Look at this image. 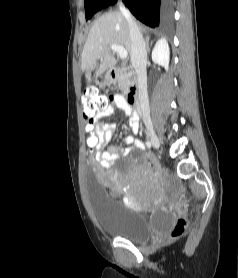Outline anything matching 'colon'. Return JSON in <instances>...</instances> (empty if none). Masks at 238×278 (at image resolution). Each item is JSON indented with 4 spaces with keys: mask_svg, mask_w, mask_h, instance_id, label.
I'll list each match as a JSON object with an SVG mask.
<instances>
[{
    "mask_svg": "<svg viewBox=\"0 0 238 278\" xmlns=\"http://www.w3.org/2000/svg\"><path fill=\"white\" fill-rule=\"evenodd\" d=\"M113 103L112 98L109 99L103 94H100L96 89H88L82 95V113L85 120L88 122L86 126V140L83 145L87 146L86 155L87 159H94L97 156V149L99 148L100 142L95 141L100 139V131H94V123L97 116L103 112L106 108L110 107ZM183 197L187 196L188 190L186 186L180 187ZM184 204L188 203L187 199L183 200ZM188 227L186 218L180 215L172 225L169 236L173 239L181 237Z\"/></svg>",
    "mask_w": 238,
    "mask_h": 278,
    "instance_id": "5ec220e1",
    "label": "colon"
}]
</instances>
